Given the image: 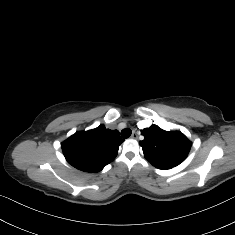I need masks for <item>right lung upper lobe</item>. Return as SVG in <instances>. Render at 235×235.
<instances>
[{
  "label": "right lung upper lobe",
  "mask_w": 235,
  "mask_h": 235,
  "mask_svg": "<svg viewBox=\"0 0 235 235\" xmlns=\"http://www.w3.org/2000/svg\"><path fill=\"white\" fill-rule=\"evenodd\" d=\"M122 142L117 130L100 125L89 131L76 132L61 147L66 160L73 167L96 173L115 159Z\"/></svg>",
  "instance_id": "right-lung-upper-lobe-1"
}]
</instances>
